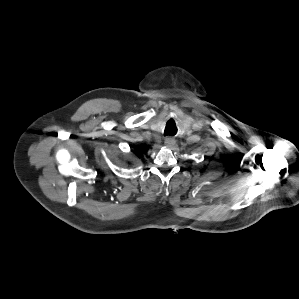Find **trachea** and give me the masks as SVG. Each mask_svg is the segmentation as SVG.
I'll use <instances>...</instances> for the list:
<instances>
[{"mask_svg": "<svg viewBox=\"0 0 299 299\" xmlns=\"http://www.w3.org/2000/svg\"><path fill=\"white\" fill-rule=\"evenodd\" d=\"M176 132H177L176 125L174 124V122L169 121L168 125L165 127L164 135L173 136L176 134Z\"/></svg>", "mask_w": 299, "mask_h": 299, "instance_id": "trachea-1", "label": "trachea"}]
</instances>
